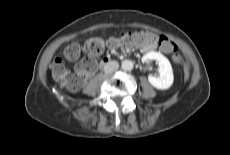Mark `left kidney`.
Returning <instances> with one entry per match:
<instances>
[{"instance_id":"obj_1","label":"left kidney","mask_w":230,"mask_h":155,"mask_svg":"<svg viewBox=\"0 0 230 155\" xmlns=\"http://www.w3.org/2000/svg\"><path fill=\"white\" fill-rule=\"evenodd\" d=\"M156 60L159 66V76H148L149 83L156 89H169L174 81L173 69L169 60L159 52H148L142 57V62Z\"/></svg>"}]
</instances>
